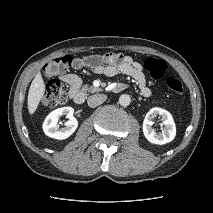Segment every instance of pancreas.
I'll return each mask as SVG.
<instances>
[{
    "instance_id": "obj_1",
    "label": "pancreas",
    "mask_w": 213,
    "mask_h": 213,
    "mask_svg": "<svg viewBox=\"0 0 213 213\" xmlns=\"http://www.w3.org/2000/svg\"><path fill=\"white\" fill-rule=\"evenodd\" d=\"M84 89H85V90H88V91H90V92L99 91L98 88H94V87H92V86L88 87V85H85V86H84Z\"/></svg>"
}]
</instances>
